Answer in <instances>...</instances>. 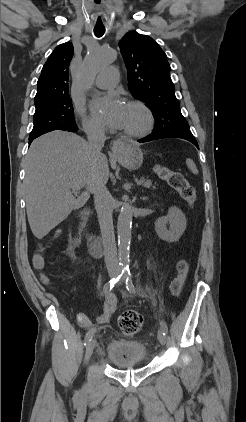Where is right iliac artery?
I'll return each instance as SVG.
<instances>
[{"label":"right iliac artery","instance_id":"1","mask_svg":"<svg viewBox=\"0 0 246 422\" xmlns=\"http://www.w3.org/2000/svg\"><path fill=\"white\" fill-rule=\"evenodd\" d=\"M124 270H119L117 272V274L115 275V277H113L110 281H108L104 287H103V292L104 294H107L111 291V289L115 286V284L119 281V279L121 278V276L123 275ZM95 332V328H92L91 330H89L85 336V343L84 345H86L93 337Z\"/></svg>","mask_w":246,"mask_h":422}]
</instances>
